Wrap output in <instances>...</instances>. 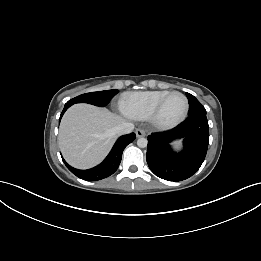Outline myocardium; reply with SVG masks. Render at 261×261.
<instances>
[{
	"label": "myocardium",
	"instance_id": "myocardium-1",
	"mask_svg": "<svg viewBox=\"0 0 261 261\" xmlns=\"http://www.w3.org/2000/svg\"><path fill=\"white\" fill-rule=\"evenodd\" d=\"M175 94L180 95L184 99V102H185L184 110H183L182 114L176 120L171 121V122H163L159 118V113H160L161 107L168 97H170L171 95H175ZM188 111H189V101H188V98L186 97V95L179 91H169L156 103V105L154 106V108L150 114L149 120L154 127L161 129V130H168V129H172V128L178 126L179 124H181L187 117Z\"/></svg>",
	"mask_w": 261,
	"mask_h": 261
}]
</instances>
